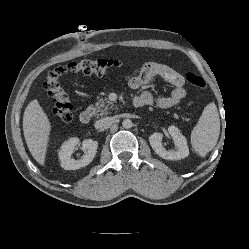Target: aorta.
<instances>
[{
    "label": "aorta",
    "instance_id": "1",
    "mask_svg": "<svg viewBox=\"0 0 249 249\" xmlns=\"http://www.w3.org/2000/svg\"><path fill=\"white\" fill-rule=\"evenodd\" d=\"M122 126L124 127V128H131L132 126H133V123H132V121L130 120V119H125V120H123V122H122Z\"/></svg>",
    "mask_w": 249,
    "mask_h": 249
}]
</instances>
